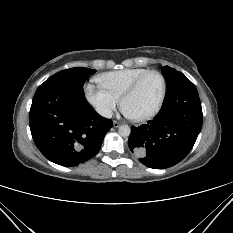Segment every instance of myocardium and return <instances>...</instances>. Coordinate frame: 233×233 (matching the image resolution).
<instances>
[{"label":"myocardium","instance_id":"myocardium-1","mask_svg":"<svg viewBox=\"0 0 233 233\" xmlns=\"http://www.w3.org/2000/svg\"><path fill=\"white\" fill-rule=\"evenodd\" d=\"M150 74H156L160 77V79L162 81L161 96H160V99H159L156 107L152 111H150L149 113H147L143 116L128 115V117L135 122H144V121H147V120L154 118L161 110L163 103L165 101V97H166V93H167V82H166L164 75L157 70H148V71L144 72L143 74H141L139 77H137L135 79V81L123 92V94L120 97L121 107L124 109V103H125L126 99L137 91V89L141 85L142 81Z\"/></svg>","mask_w":233,"mask_h":233}]
</instances>
